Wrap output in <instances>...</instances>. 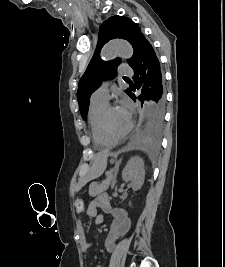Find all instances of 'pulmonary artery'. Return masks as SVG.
Instances as JSON below:
<instances>
[{
	"instance_id": "pulmonary-artery-1",
	"label": "pulmonary artery",
	"mask_w": 225,
	"mask_h": 267,
	"mask_svg": "<svg viewBox=\"0 0 225 267\" xmlns=\"http://www.w3.org/2000/svg\"><path fill=\"white\" fill-rule=\"evenodd\" d=\"M132 72H133L132 69L126 64H121L118 66V74H120V75H131ZM91 99L96 100V101L107 102V100H108V83L103 82L102 85L100 87H98L93 92Z\"/></svg>"
}]
</instances>
